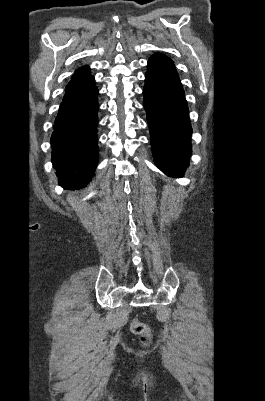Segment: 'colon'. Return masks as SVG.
I'll return each instance as SVG.
<instances>
[{"instance_id":"obj_1","label":"colon","mask_w":265,"mask_h":401,"mask_svg":"<svg viewBox=\"0 0 265 401\" xmlns=\"http://www.w3.org/2000/svg\"><path fill=\"white\" fill-rule=\"evenodd\" d=\"M130 327L131 331L134 334H137L141 337V341L144 344L149 342L151 335H150V329L146 324L140 322L137 319H133Z\"/></svg>"}]
</instances>
